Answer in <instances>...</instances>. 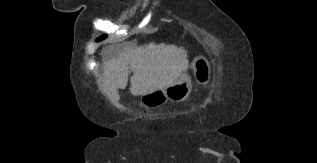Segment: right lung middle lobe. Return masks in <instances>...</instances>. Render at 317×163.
Segmentation results:
<instances>
[{"instance_id":"1","label":"right lung middle lobe","mask_w":317,"mask_h":163,"mask_svg":"<svg viewBox=\"0 0 317 163\" xmlns=\"http://www.w3.org/2000/svg\"><path fill=\"white\" fill-rule=\"evenodd\" d=\"M107 37V35H103L101 37H99L96 41L99 42V41H102L103 39H105Z\"/></svg>"}]
</instances>
